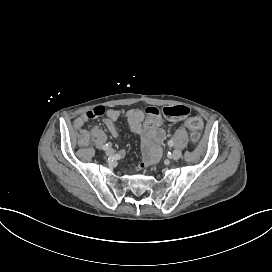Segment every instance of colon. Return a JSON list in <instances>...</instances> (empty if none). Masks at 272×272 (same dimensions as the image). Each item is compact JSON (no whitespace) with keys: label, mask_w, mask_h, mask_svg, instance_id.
Wrapping results in <instances>:
<instances>
[{"label":"colon","mask_w":272,"mask_h":272,"mask_svg":"<svg viewBox=\"0 0 272 272\" xmlns=\"http://www.w3.org/2000/svg\"><path fill=\"white\" fill-rule=\"evenodd\" d=\"M107 108L103 105L95 106L91 109H89L86 112V118L87 119H96L99 117H102L106 114ZM146 113L149 117H156L159 115H164L167 118L172 119H184L189 114V108L186 105L177 104V105H166L162 107H156L151 106L148 109H146ZM83 122L81 120H77L75 123V128L79 130L81 133L79 136V144L83 145L88 142L89 135L85 131H81V126ZM202 122L198 117H192L188 121V127L191 131V138L193 141H197L200 136V128H201Z\"/></svg>","instance_id":"obj_1"}]
</instances>
